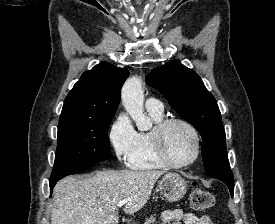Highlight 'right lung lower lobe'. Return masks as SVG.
I'll return each instance as SVG.
<instances>
[{"label":"right lung lower lobe","instance_id":"right-lung-lower-lobe-1","mask_svg":"<svg viewBox=\"0 0 275 224\" xmlns=\"http://www.w3.org/2000/svg\"><path fill=\"white\" fill-rule=\"evenodd\" d=\"M80 172H81V171H80ZM80 172H78V173H80ZM58 180H60V179H58ZM58 180H51V181H50V190H51V192H52V189H53V187L55 186V184H56V182H57Z\"/></svg>","mask_w":275,"mask_h":224}]
</instances>
